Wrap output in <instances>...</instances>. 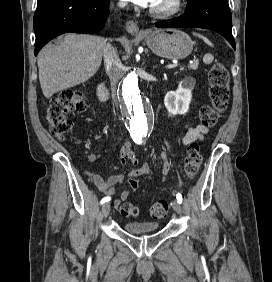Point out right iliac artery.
Returning <instances> with one entry per match:
<instances>
[{"label": "right iliac artery", "instance_id": "obj_1", "mask_svg": "<svg viewBox=\"0 0 272 282\" xmlns=\"http://www.w3.org/2000/svg\"><path fill=\"white\" fill-rule=\"evenodd\" d=\"M138 144H140V142H137ZM110 201V197H104L102 198V200L100 201L101 204Z\"/></svg>", "mask_w": 272, "mask_h": 282}]
</instances>
